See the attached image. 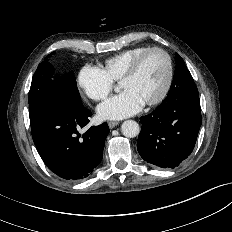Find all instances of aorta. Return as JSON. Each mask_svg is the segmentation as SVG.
Instances as JSON below:
<instances>
[{
    "mask_svg": "<svg viewBox=\"0 0 232 232\" xmlns=\"http://www.w3.org/2000/svg\"><path fill=\"white\" fill-rule=\"evenodd\" d=\"M121 132L124 136L128 138H133L139 134L140 128L136 121L126 120L122 123Z\"/></svg>",
    "mask_w": 232,
    "mask_h": 232,
    "instance_id": "1",
    "label": "aorta"
}]
</instances>
